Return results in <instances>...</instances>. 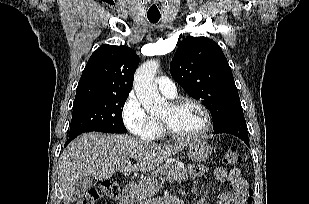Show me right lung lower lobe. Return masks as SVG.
Segmentation results:
<instances>
[{
  "instance_id": "obj_1",
  "label": "right lung lower lobe",
  "mask_w": 309,
  "mask_h": 204,
  "mask_svg": "<svg viewBox=\"0 0 309 204\" xmlns=\"http://www.w3.org/2000/svg\"><path fill=\"white\" fill-rule=\"evenodd\" d=\"M77 136H78V135L70 137L69 140L66 142V144H65L64 146H66L69 142H71V141H72L75 137H77Z\"/></svg>"
}]
</instances>
